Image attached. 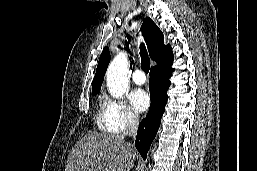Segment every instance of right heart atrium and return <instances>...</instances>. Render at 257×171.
<instances>
[{"mask_svg": "<svg viewBox=\"0 0 257 171\" xmlns=\"http://www.w3.org/2000/svg\"><path fill=\"white\" fill-rule=\"evenodd\" d=\"M102 111L110 128L114 132H123L136 126L139 117L122 98L105 97Z\"/></svg>", "mask_w": 257, "mask_h": 171, "instance_id": "d8ad5b80", "label": "right heart atrium"}]
</instances>
